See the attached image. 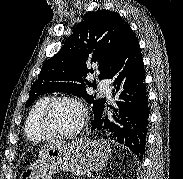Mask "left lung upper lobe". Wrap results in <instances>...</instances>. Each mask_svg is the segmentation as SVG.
<instances>
[{"label": "left lung upper lobe", "mask_w": 183, "mask_h": 179, "mask_svg": "<svg viewBox=\"0 0 183 179\" xmlns=\"http://www.w3.org/2000/svg\"><path fill=\"white\" fill-rule=\"evenodd\" d=\"M129 30V24L116 12L105 9L88 12L60 51L43 64L26 107L45 93H72L93 104L95 118L104 109L105 100L87 94L85 83L91 84L85 77L94 72L92 66H97L99 79L110 78Z\"/></svg>", "instance_id": "5c2ea615"}]
</instances>
